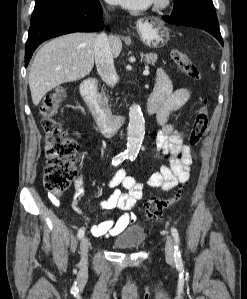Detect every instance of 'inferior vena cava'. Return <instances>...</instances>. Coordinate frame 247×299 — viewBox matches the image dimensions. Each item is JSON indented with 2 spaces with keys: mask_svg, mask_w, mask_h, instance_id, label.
Segmentation results:
<instances>
[{
  "mask_svg": "<svg viewBox=\"0 0 247 299\" xmlns=\"http://www.w3.org/2000/svg\"><path fill=\"white\" fill-rule=\"evenodd\" d=\"M95 64L102 80L113 88L118 81V76L114 66L109 38L105 33H100L96 37Z\"/></svg>",
  "mask_w": 247,
  "mask_h": 299,
  "instance_id": "inferior-vena-cava-1",
  "label": "inferior vena cava"
}]
</instances>
